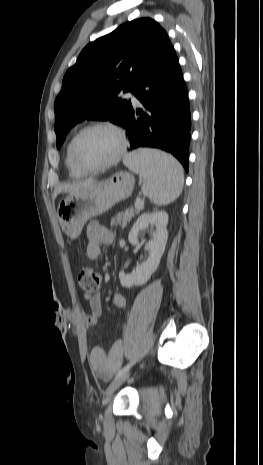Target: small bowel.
<instances>
[{"label": "small bowel", "mask_w": 263, "mask_h": 465, "mask_svg": "<svg viewBox=\"0 0 263 465\" xmlns=\"http://www.w3.org/2000/svg\"><path fill=\"white\" fill-rule=\"evenodd\" d=\"M88 244L86 248L87 256L90 260H96L102 255L104 247L110 246L114 241L112 231L98 222H91L87 227ZM112 303L117 308H123L126 305V299L122 294H115ZM90 315L89 317L98 320L102 315V304L99 295L89 299ZM88 362L98 376L109 378L121 366L122 363V346L120 342H115L109 351H105L99 346L93 347L88 354Z\"/></svg>", "instance_id": "c3829d8e"}]
</instances>
